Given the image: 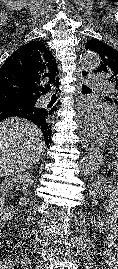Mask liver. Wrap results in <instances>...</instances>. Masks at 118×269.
<instances>
[{"label": "liver", "instance_id": "obj_1", "mask_svg": "<svg viewBox=\"0 0 118 269\" xmlns=\"http://www.w3.org/2000/svg\"><path fill=\"white\" fill-rule=\"evenodd\" d=\"M44 151L42 132L32 122L15 117L0 123V177L30 169Z\"/></svg>", "mask_w": 118, "mask_h": 269}]
</instances>
